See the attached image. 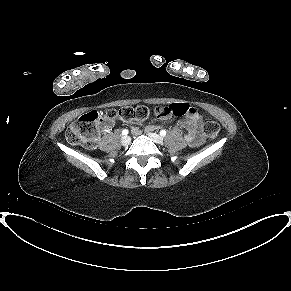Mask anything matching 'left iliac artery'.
<instances>
[{
	"instance_id": "obj_1",
	"label": "left iliac artery",
	"mask_w": 291,
	"mask_h": 291,
	"mask_svg": "<svg viewBox=\"0 0 291 291\" xmlns=\"http://www.w3.org/2000/svg\"><path fill=\"white\" fill-rule=\"evenodd\" d=\"M160 135H161V136H165V135H166V131H165V130H161V131H160Z\"/></svg>"
}]
</instances>
